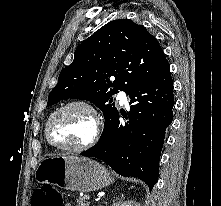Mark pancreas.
I'll return each mask as SVG.
<instances>
[{
	"mask_svg": "<svg viewBox=\"0 0 221 206\" xmlns=\"http://www.w3.org/2000/svg\"><path fill=\"white\" fill-rule=\"evenodd\" d=\"M77 204H78L77 206H89L85 197H79L77 199Z\"/></svg>",
	"mask_w": 221,
	"mask_h": 206,
	"instance_id": "obj_1",
	"label": "pancreas"
}]
</instances>
